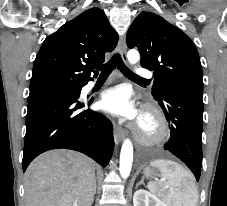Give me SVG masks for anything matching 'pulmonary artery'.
I'll list each match as a JSON object with an SVG mask.
<instances>
[{
    "label": "pulmonary artery",
    "mask_w": 227,
    "mask_h": 206,
    "mask_svg": "<svg viewBox=\"0 0 227 206\" xmlns=\"http://www.w3.org/2000/svg\"><path fill=\"white\" fill-rule=\"evenodd\" d=\"M136 74L137 76L139 77H142V78H150L152 77V73L146 69H143V68H139L136 70ZM96 82L95 81H91L87 84L86 88L87 89H91L95 86Z\"/></svg>",
    "instance_id": "obj_1"
}]
</instances>
